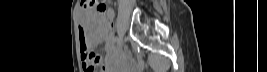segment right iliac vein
<instances>
[{"instance_id":"right-iliac-vein-1","label":"right iliac vein","mask_w":267,"mask_h":72,"mask_svg":"<svg viewBox=\"0 0 267 72\" xmlns=\"http://www.w3.org/2000/svg\"><path fill=\"white\" fill-rule=\"evenodd\" d=\"M122 45H123V41L120 40V41L118 42V46L121 47Z\"/></svg>"}]
</instances>
